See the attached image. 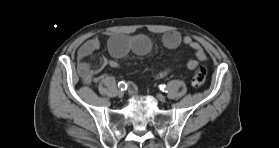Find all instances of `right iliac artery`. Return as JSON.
<instances>
[{
    "label": "right iliac artery",
    "mask_w": 279,
    "mask_h": 148,
    "mask_svg": "<svg viewBox=\"0 0 279 148\" xmlns=\"http://www.w3.org/2000/svg\"><path fill=\"white\" fill-rule=\"evenodd\" d=\"M118 87L121 89V90H126L127 89V84L123 81H120L118 83Z\"/></svg>",
    "instance_id": "1"
}]
</instances>
